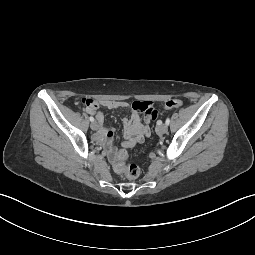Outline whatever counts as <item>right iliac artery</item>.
<instances>
[{"label": "right iliac artery", "mask_w": 255, "mask_h": 255, "mask_svg": "<svg viewBox=\"0 0 255 255\" xmlns=\"http://www.w3.org/2000/svg\"><path fill=\"white\" fill-rule=\"evenodd\" d=\"M89 120H90L91 122H93V121H94V118H93L92 116H90V117H89Z\"/></svg>", "instance_id": "1"}]
</instances>
